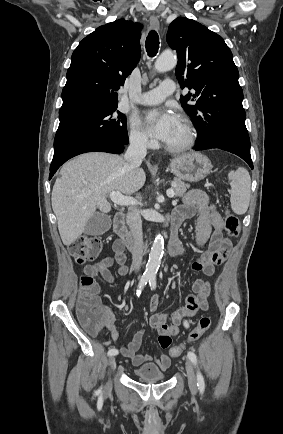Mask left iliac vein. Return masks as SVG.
<instances>
[{"label":"left iliac vein","instance_id":"4c4485c4","mask_svg":"<svg viewBox=\"0 0 283 434\" xmlns=\"http://www.w3.org/2000/svg\"><path fill=\"white\" fill-rule=\"evenodd\" d=\"M185 366H186L189 388L192 392H196L197 391V380H196L195 372L193 369V365L190 362V360H186Z\"/></svg>","mask_w":283,"mask_h":434}]
</instances>
